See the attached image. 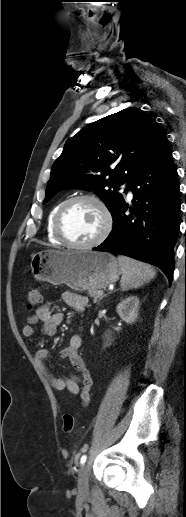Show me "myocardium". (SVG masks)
Listing matches in <instances>:
<instances>
[{
	"mask_svg": "<svg viewBox=\"0 0 186 517\" xmlns=\"http://www.w3.org/2000/svg\"><path fill=\"white\" fill-rule=\"evenodd\" d=\"M79 201H90L100 210L103 217V226L96 238L87 243H76L69 240L62 229L63 219L68 209ZM113 218L107 205L100 198L93 194H79L66 200L59 208L54 219V232L57 238L66 246L76 249H92L103 243L112 231Z\"/></svg>",
	"mask_w": 186,
	"mask_h": 517,
	"instance_id": "obj_1",
	"label": "myocardium"
}]
</instances>
